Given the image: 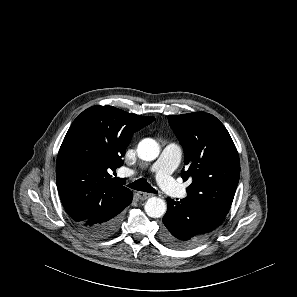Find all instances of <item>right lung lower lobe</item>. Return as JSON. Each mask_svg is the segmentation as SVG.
<instances>
[{
    "mask_svg": "<svg viewBox=\"0 0 297 297\" xmlns=\"http://www.w3.org/2000/svg\"><path fill=\"white\" fill-rule=\"evenodd\" d=\"M133 195L129 196L119 207L99 209L87 219L76 222L79 229L90 237L104 239L114 235L122 220V211L131 203Z\"/></svg>",
    "mask_w": 297,
    "mask_h": 297,
    "instance_id": "98d812e1",
    "label": "right lung lower lobe"
}]
</instances>
